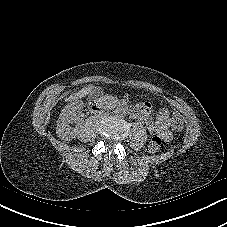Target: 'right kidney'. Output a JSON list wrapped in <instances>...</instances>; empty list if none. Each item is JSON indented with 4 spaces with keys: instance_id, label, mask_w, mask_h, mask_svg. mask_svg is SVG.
<instances>
[{
    "instance_id": "1",
    "label": "right kidney",
    "mask_w": 227,
    "mask_h": 227,
    "mask_svg": "<svg viewBox=\"0 0 227 227\" xmlns=\"http://www.w3.org/2000/svg\"><path fill=\"white\" fill-rule=\"evenodd\" d=\"M73 112H74V110L71 108L70 105L65 107L59 117V123H60L59 126L67 128L68 127L67 121L70 122L71 120L74 119L73 117H69L70 115H74Z\"/></svg>"
}]
</instances>
